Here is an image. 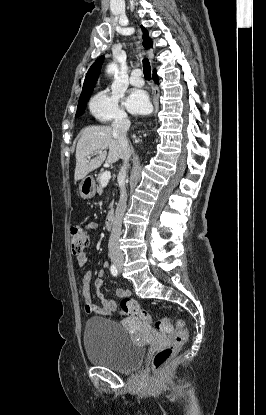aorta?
Instances as JSON below:
<instances>
[{"label":"aorta","mask_w":266,"mask_h":415,"mask_svg":"<svg viewBox=\"0 0 266 415\" xmlns=\"http://www.w3.org/2000/svg\"><path fill=\"white\" fill-rule=\"evenodd\" d=\"M116 69H117V65L115 63H112V64L108 65L107 70H108V72H110V71H114Z\"/></svg>","instance_id":"aorta-1"}]
</instances>
